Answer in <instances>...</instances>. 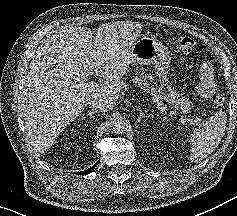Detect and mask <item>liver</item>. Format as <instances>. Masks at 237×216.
Wrapping results in <instances>:
<instances>
[{"mask_svg": "<svg viewBox=\"0 0 237 216\" xmlns=\"http://www.w3.org/2000/svg\"><path fill=\"white\" fill-rule=\"evenodd\" d=\"M29 69L22 78L20 109L28 137L45 148L80 116L90 98L103 92L116 102L130 68L123 65L114 40L105 43L91 29L72 26L47 38ZM94 74L100 80L86 82Z\"/></svg>", "mask_w": 237, "mask_h": 216, "instance_id": "obj_1", "label": "liver"}]
</instances>
